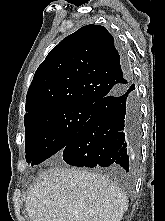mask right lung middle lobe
I'll return each instance as SVG.
<instances>
[{
	"instance_id": "dd1d6c3e",
	"label": "right lung middle lobe",
	"mask_w": 165,
	"mask_h": 221,
	"mask_svg": "<svg viewBox=\"0 0 165 221\" xmlns=\"http://www.w3.org/2000/svg\"><path fill=\"white\" fill-rule=\"evenodd\" d=\"M93 105H65L24 120L26 161L37 165L62 151L91 116Z\"/></svg>"
}]
</instances>
